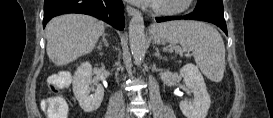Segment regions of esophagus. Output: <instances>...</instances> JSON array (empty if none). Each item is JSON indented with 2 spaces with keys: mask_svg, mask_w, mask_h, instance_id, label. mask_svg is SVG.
Segmentation results:
<instances>
[{
  "mask_svg": "<svg viewBox=\"0 0 273 118\" xmlns=\"http://www.w3.org/2000/svg\"><path fill=\"white\" fill-rule=\"evenodd\" d=\"M126 11L128 13V15L130 16H135V15H140L141 13L139 12V10L127 5L126 6Z\"/></svg>",
  "mask_w": 273,
  "mask_h": 118,
  "instance_id": "1",
  "label": "esophagus"
}]
</instances>
